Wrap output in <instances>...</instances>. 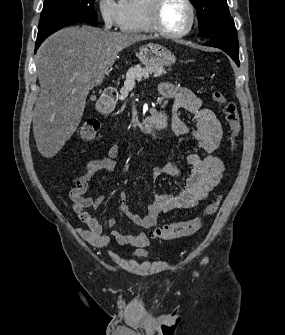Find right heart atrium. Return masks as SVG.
Instances as JSON below:
<instances>
[{"label": "right heart atrium", "mask_w": 285, "mask_h": 335, "mask_svg": "<svg viewBox=\"0 0 285 335\" xmlns=\"http://www.w3.org/2000/svg\"><path fill=\"white\" fill-rule=\"evenodd\" d=\"M100 14L104 26L108 29L117 28L123 24V5L118 1H101Z\"/></svg>", "instance_id": "d8ad5b80"}]
</instances>
